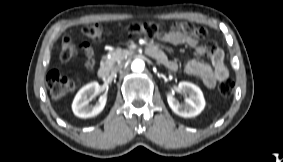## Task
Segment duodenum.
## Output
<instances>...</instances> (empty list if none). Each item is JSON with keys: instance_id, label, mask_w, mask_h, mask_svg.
I'll return each instance as SVG.
<instances>
[{"instance_id": "obj_1", "label": "duodenum", "mask_w": 283, "mask_h": 162, "mask_svg": "<svg viewBox=\"0 0 283 162\" xmlns=\"http://www.w3.org/2000/svg\"><path fill=\"white\" fill-rule=\"evenodd\" d=\"M146 51L150 56H152L153 58H155L157 60L163 58L162 51H160L156 46L149 45V46H147ZM108 75H109V70L106 67H102V68L99 69L98 76L101 79L107 78Z\"/></svg>"}]
</instances>
